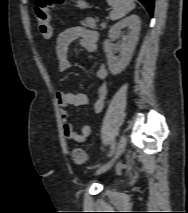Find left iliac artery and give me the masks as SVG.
<instances>
[{
	"mask_svg": "<svg viewBox=\"0 0 188 213\" xmlns=\"http://www.w3.org/2000/svg\"><path fill=\"white\" fill-rule=\"evenodd\" d=\"M115 147H116V142L114 140L111 144V151H110L109 157L112 156V154L114 153Z\"/></svg>",
	"mask_w": 188,
	"mask_h": 213,
	"instance_id": "44dca946",
	"label": "left iliac artery"
}]
</instances>
